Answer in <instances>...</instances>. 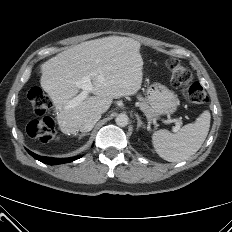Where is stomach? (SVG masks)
Instances as JSON below:
<instances>
[{
    "label": "stomach",
    "instance_id": "1",
    "mask_svg": "<svg viewBox=\"0 0 232 232\" xmlns=\"http://www.w3.org/2000/svg\"><path fill=\"white\" fill-rule=\"evenodd\" d=\"M147 94V101L156 114L170 115L177 110L179 105L177 95L164 85H151Z\"/></svg>",
    "mask_w": 232,
    "mask_h": 232
}]
</instances>
